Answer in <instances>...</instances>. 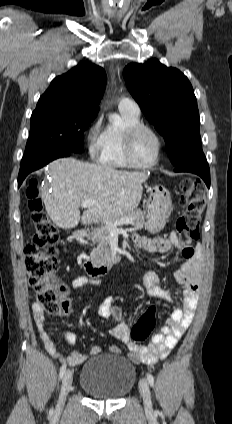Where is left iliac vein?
I'll list each match as a JSON object with an SVG mask.
<instances>
[{
    "instance_id": "obj_1",
    "label": "left iliac vein",
    "mask_w": 232,
    "mask_h": 424,
    "mask_svg": "<svg viewBox=\"0 0 232 424\" xmlns=\"http://www.w3.org/2000/svg\"><path fill=\"white\" fill-rule=\"evenodd\" d=\"M139 388H140V393L141 396L143 398V403H144V408L145 411L149 414H151L153 412V407H152V401H151V394H150V389H149V385L146 381L145 378H142L139 382Z\"/></svg>"
}]
</instances>
